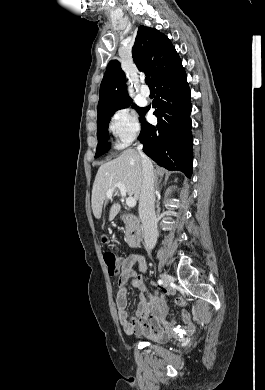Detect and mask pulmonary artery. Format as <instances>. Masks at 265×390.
<instances>
[{"mask_svg": "<svg viewBox=\"0 0 265 390\" xmlns=\"http://www.w3.org/2000/svg\"><path fill=\"white\" fill-rule=\"evenodd\" d=\"M140 94L142 97H145V98L149 97V95H150L149 88L146 85H142L140 87Z\"/></svg>", "mask_w": 265, "mask_h": 390, "instance_id": "1", "label": "pulmonary artery"}]
</instances>
